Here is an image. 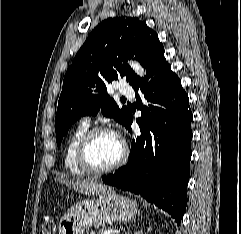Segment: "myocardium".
I'll return each instance as SVG.
<instances>
[{
    "label": "myocardium",
    "mask_w": 241,
    "mask_h": 234,
    "mask_svg": "<svg viewBox=\"0 0 241 234\" xmlns=\"http://www.w3.org/2000/svg\"><path fill=\"white\" fill-rule=\"evenodd\" d=\"M106 132L113 133L111 129L105 126H97L89 129L80 140L77 148V161L79 166L88 174L101 175L112 172L124 165L128 159V147L125 142H122V154L120 158L113 164L106 167H96L90 162L88 152L92 141L98 134Z\"/></svg>",
    "instance_id": "obj_1"
}]
</instances>
